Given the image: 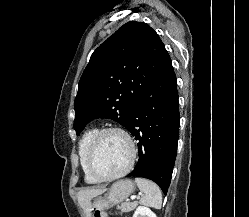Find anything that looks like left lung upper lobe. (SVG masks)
Returning a JSON list of instances; mask_svg holds the SVG:
<instances>
[{
	"label": "left lung upper lobe",
	"mask_w": 249,
	"mask_h": 217,
	"mask_svg": "<svg viewBox=\"0 0 249 217\" xmlns=\"http://www.w3.org/2000/svg\"><path fill=\"white\" fill-rule=\"evenodd\" d=\"M169 54L146 23L130 21L92 54L74 101V129L79 134L95 118H110L125 128L131 112L158 76Z\"/></svg>",
	"instance_id": "left-lung-upper-lobe-1"
}]
</instances>
